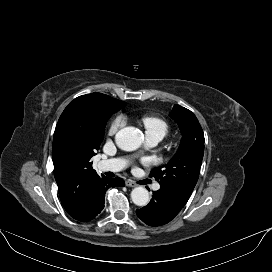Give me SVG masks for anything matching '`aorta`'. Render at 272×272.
Masks as SVG:
<instances>
[{
	"mask_svg": "<svg viewBox=\"0 0 272 272\" xmlns=\"http://www.w3.org/2000/svg\"><path fill=\"white\" fill-rule=\"evenodd\" d=\"M117 146L124 151H133L140 147L143 134L135 127H125L115 136ZM131 199L137 206H146L149 202V193L144 187H136L131 192Z\"/></svg>",
	"mask_w": 272,
	"mask_h": 272,
	"instance_id": "762f6f07",
	"label": "aorta"
}]
</instances>
